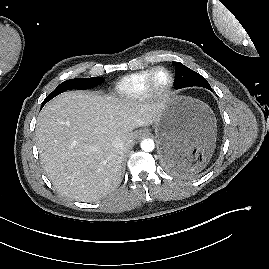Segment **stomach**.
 I'll return each mask as SVG.
<instances>
[{"label": "stomach", "instance_id": "stomach-1", "mask_svg": "<svg viewBox=\"0 0 269 269\" xmlns=\"http://www.w3.org/2000/svg\"><path fill=\"white\" fill-rule=\"evenodd\" d=\"M216 128L215 115L207 104L185 96L166 98L154 123L161 161L166 145L178 148L180 157L176 168L179 170L208 161L216 146Z\"/></svg>", "mask_w": 269, "mask_h": 269}]
</instances>
